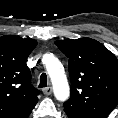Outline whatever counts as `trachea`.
<instances>
[{"label":"trachea","mask_w":118,"mask_h":118,"mask_svg":"<svg viewBox=\"0 0 118 118\" xmlns=\"http://www.w3.org/2000/svg\"><path fill=\"white\" fill-rule=\"evenodd\" d=\"M39 87H47V75L45 73H42L40 76Z\"/></svg>","instance_id":"trachea-1"}]
</instances>
